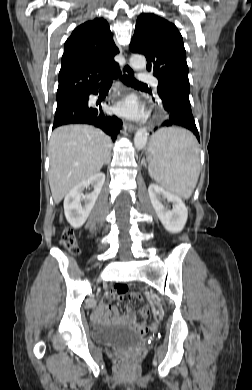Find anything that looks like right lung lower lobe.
<instances>
[{
	"instance_id": "98d812e1",
	"label": "right lung lower lobe",
	"mask_w": 252,
	"mask_h": 390,
	"mask_svg": "<svg viewBox=\"0 0 252 390\" xmlns=\"http://www.w3.org/2000/svg\"><path fill=\"white\" fill-rule=\"evenodd\" d=\"M120 76V71L115 77ZM98 88L84 91L79 95L57 103L53 129L66 124H90L102 129L113 142L122 127V121L116 116L105 115L101 110L88 105L89 95L97 94Z\"/></svg>"
}]
</instances>
